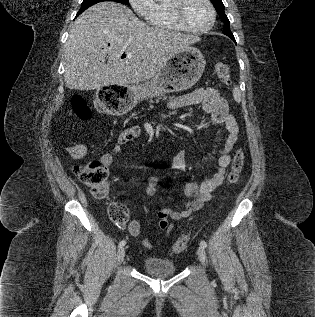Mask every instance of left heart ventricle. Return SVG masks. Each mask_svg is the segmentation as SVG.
<instances>
[{"mask_svg": "<svg viewBox=\"0 0 315 317\" xmlns=\"http://www.w3.org/2000/svg\"><path fill=\"white\" fill-rule=\"evenodd\" d=\"M183 16L188 25L194 28H202L210 22V10L204 0H187Z\"/></svg>", "mask_w": 315, "mask_h": 317, "instance_id": "left-heart-ventricle-1", "label": "left heart ventricle"}]
</instances>
